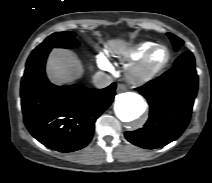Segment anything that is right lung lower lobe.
Wrapping results in <instances>:
<instances>
[{"label":"right lung lower lobe","mask_w":212,"mask_h":183,"mask_svg":"<svg viewBox=\"0 0 212 183\" xmlns=\"http://www.w3.org/2000/svg\"><path fill=\"white\" fill-rule=\"evenodd\" d=\"M50 49L34 50L21 81V104L29 132L46 147L72 152L92 139L96 119L114 100L116 84L104 89L56 86L45 75Z\"/></svg>","instance_id":"right-lung-lower-lobe-1"}]
</instances>
